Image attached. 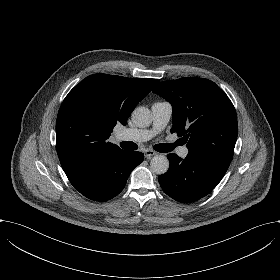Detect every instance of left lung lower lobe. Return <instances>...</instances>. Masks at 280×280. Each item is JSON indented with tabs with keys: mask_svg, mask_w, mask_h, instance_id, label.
I'll use <instances>...</instances> for the list:
<instances>
[{
	"mask_svg": "<svg viewBox=\"0 0 280 280\" xmlns=\"http://www.w3.org/2000/svg\"><path fill=\"white\" fill-rule=\"evenodd\" d=\"M169 170L158 177L163 191L182 203L197 201L209 194L225 175L226 161L189 154L181 159L169 154Z\"/></svg>",
	"mask_w": 280,
	"mask_h": 280,
	"instance_id": "0a47b994",
	"label": "left lung lower lobe"
}]
</instances>
